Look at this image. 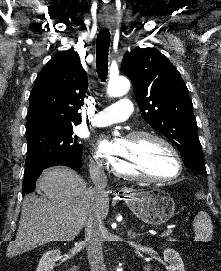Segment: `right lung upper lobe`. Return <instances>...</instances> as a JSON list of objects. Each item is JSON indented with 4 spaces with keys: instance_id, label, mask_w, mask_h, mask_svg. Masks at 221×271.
<instances>
[{
    "instance_id": "right-lung-upper-lobe-1",
    "label": "right lung upper lobe",
    "mask_w": 221,
    "mask_h": 271,
    "mask_svg": "<svg viewBox=\"0 0 221 271\" xmlns=\"http://www.w3.org/2000/svg\"><path fill=\"white\" fill-rule=\"evenodd\" d=\"M88 87L79 55L60 52L39 72L31 91L26 131L40 126H76Z\"/></svg>"
}]
</instances>
